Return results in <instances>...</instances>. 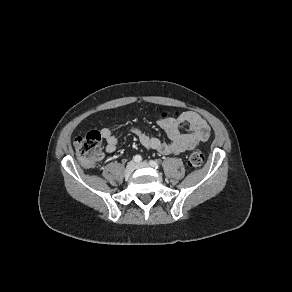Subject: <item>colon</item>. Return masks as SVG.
<instances>
[{
  "label": "colon",
  "instance_id": "5ec220e1",
  "mask_svg": "<svg viewBox=\"0 0 292 292\" xmlns=\"http://www.w3.org/2000/svg\"><path fill=\"white\" fill-rule=\"evenodd\" d=\"M76 154L79 160L87 167L94 166L102 156V135L92 130L75 140ZM204 163V155L200 149H195L188 158L191 168H198Z\"/></svg>",
  "mask_w": 292,
  "mask_h": 292
}]
</instances>
